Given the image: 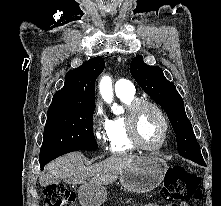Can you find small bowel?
Returning a JSON list of instances; mask_svg holds the SVG:
<instances>
[{
  "mask_svg": "<svg viewBox=\"0 0 221 206\" xmlns=\"http://www.w3.org/2000/svg\"><path fill=\"white\" fill-rule=\"evenodd\" d=\"M146 206H161L160 204L158 203H155V204H148ZM168 206H187V204L185 203H181V204H169Z\"/></svg>",
  "mask_w": 221,
  "mask_h": 206,
  "instance_id": "obj_1",
  "label": "small bowel"
}]
</instances>
